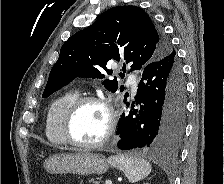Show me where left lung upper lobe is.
Listing matches in <instances>:
<instances>
[{"label": "left lung upper lobe", "mask_w": 224, "mask_h": 184, "mask_svg": "<svg viewBox=\"0 0 224 184\" xmlns=\"http://www.w3.org/2000/svg\"><path fill=\"white\" fill-rule=\"evenodd\" d=\"M172 51L168 40L156 29L144 10L136 6L115 7L62 45L43 97L50 96L77 76L102 79L105 76L101 68L112 74V70L106 68L111 59H124L131 64V71L141 72L148 64ZM123 71L126 72L125 65ZM103 85L111 92L118 89L116 77L104 80Z\"/></svg>", "instance_id": "5c2ea615"}]
</instances>
